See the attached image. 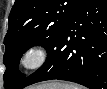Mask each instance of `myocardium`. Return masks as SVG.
I'll list each match as a JSON object with an SVG mask.
<instances>
[{"label":"myocardium","instance_id":"f54148a6","mask_svg":"<svg viewBox=\"0 0 107 89\" xmlns=\"http://www.w3.org/2000/svg\"><path fill=\"white\" fill-rule=\"evenodd\" d=\"M48 55V49L44 45L35 44L22 53L19 64L26 71H34L45 64Z\"/></svg>","mask_w":107,"mask_h":89}]
</instances>
